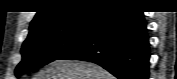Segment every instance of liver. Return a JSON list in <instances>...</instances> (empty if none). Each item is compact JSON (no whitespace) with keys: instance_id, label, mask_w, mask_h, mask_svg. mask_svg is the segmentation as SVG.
<instances>
[{"instance_id":"6515ba94","label":"liver","mask_w":177,"mask_h":79,"mask_svg":"<svg viewBox=\"0 0 177 79\" xmlns=\"http://www.w3.org/2000/svg\"><path fill=\"white\" fill-rule=\"evenodd\" d=\"M34 79H113V76L94 63L66 59L51 62Z\"/></svg>"}]
</instances>
